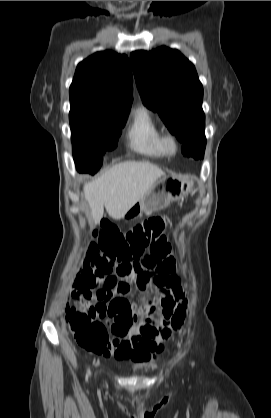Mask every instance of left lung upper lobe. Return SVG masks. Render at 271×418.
<instances>
[{
    "mask_svg": "<svg viewBox=\"0 0 271 418\" xmlns=\"http://www.w3.org/2000/svg\"><path fill=\"white\" fill-rule=\"evenodd\" d=\"M131 64L144 105L157 111L183 144L182 153L201 159L206 146L203 87L194 65L179 51L166 47L136 51Z\"/></svg>",
    "mask_w": 271,
    "mask_h": 418,
    "instance_id": "5c2ea615",
    "label": "left lung upper lobe"
}]
</instances>
